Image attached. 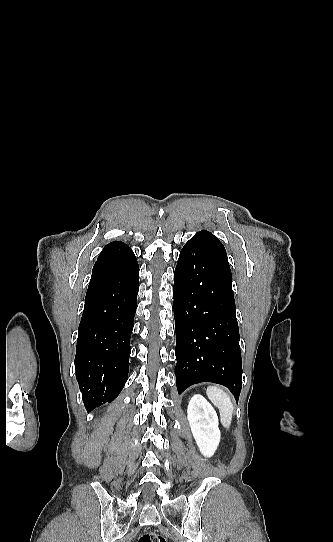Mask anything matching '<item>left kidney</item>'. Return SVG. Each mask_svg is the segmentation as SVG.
Wrapping results in <instances>:
<instances>
[{
    "mask_svg": "<svg viewBox=\"0 0 333 542\" xmlns=\"http://www.w3.org/2000/svg\"><path fill=\"white\" fill-rule=\"evenodd\" d=\"M187 418L201 454L211 458L220 442L218 416L214 408L201 394H194L188 404Z\"/></svg>",
    "mask_w": 333,
    "mask_h": 542,
    "instance_id": "obj_1",
    "label": "left kidney"
}]
</instances>
